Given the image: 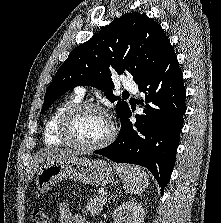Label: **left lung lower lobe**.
I'll use <instances>...</instances> for the list:
<instances>
[{
    "label": "left lung lower lobe",
    "mask_w": 221,
    "mask_h": 223,
    "mask_svg": "<svg viewBox=\"0 0 221 223\" xmlns=\"http://www.w3.org/2000/svg\"><path fill=\"white\" fill-rule=\"evenodd\" d=\"M138 88L145 93V102H150L145 106L144 113L136 115V122L132 124L129 108L120 118L118 138L94 153L113 162L146 167L163 194L175 165L186 112L183 74L172 45L155 70L138 84Z\"/></svg>",
    "instance_id": "1"
}]
</instances>
